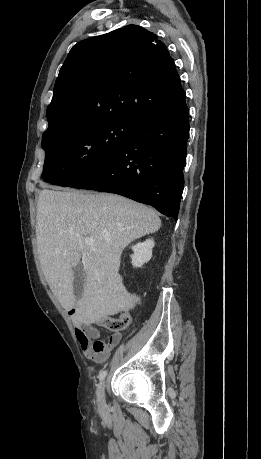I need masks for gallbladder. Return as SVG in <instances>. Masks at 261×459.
<instances>
[{
  "instance_id": "bac80fb5",
  "label": "gallbladder",
  "mask_w": 261,
  "mask_h": 459,
  "mask_svg": "<svg viewBox=\"0 0 261 459\" xmlns=\"http://www.w3.org/2000/svg\"><path fill=\"white\" fill-rule=\"evenodd\" d=\"M86 273L82 262H79L74 268L73 286L76 299H79L84 290Z\"/></svg>"
}]
</instances>
